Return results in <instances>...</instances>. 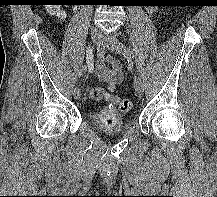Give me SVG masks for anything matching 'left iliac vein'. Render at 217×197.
<instances>
[{"label":"left iliac vein","instance_id":"4c4485c4","mask_svg":"<svg viewBox=\"0 0 217 197\" xmlns=\"http://www.w3.org/2000/svg\"><path fill=\"white\" fill-rule=\"evenodd\" d=\"M101 42L108 50L112 52L118 51L115 37L103 36ZM134 88H135L136 95L142 97L144 92V85L141 78L138 75L134 76Z\"/></svg>","mask_w":217,"mask_h":197}]
</instances>
